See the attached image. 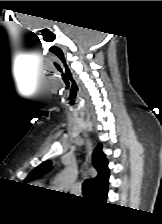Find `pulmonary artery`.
Masks as SVG:
<instances>
[{
    "instance_id": "e3ab8cb5",
    "label": "pulmonary artery",
    "mask_w": 162,
    "mask_h": 224,
    "mask_svg": "<svg viewBox=\"0 0 162 224\" xmlns=\"http://www.w3.org/2000/svg\"><path fill=\"white\" fill-rule=\"evenodd\" d=\"M72 191L75 193H79L81 191V184L80 183H76L73 187H72Z\"/></svg>"
}]
</instances>
